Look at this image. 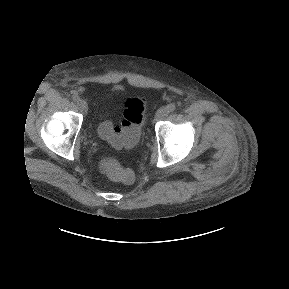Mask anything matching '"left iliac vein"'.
<instances>
[{
    "label": "left iliac vein",
    "instance_id": "4c4485c4",
    "mask_svg": "<svg viewBox=\"0 0 289 289\" xmlns=\"http://www.w3.org/2000/svg\"><path fill=\"white\" fill-rule=\"evenodd\" d=\"M169 111L167 107H161L157 110L155 114V119L156 120H162L164 117L168 115Z\"/></svg>",
    "mask_w": 289,
    "mask_h": 289
}]
</instances>
